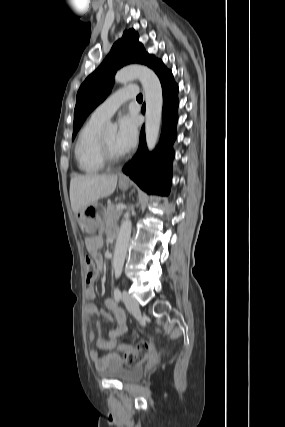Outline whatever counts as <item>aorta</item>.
<instances>
[{"label":"aorta","mask_w":285,"mask_h":427,"mask_svg":"<svg viewBox=\"0 0 285 427\" xmlns=\"http://www.w3.org/2000/svg\"><path fill=\"white\" fill-rule=\"evenodd\" d=\"M133 79H139L145 94V136L149 151H152L157 143L161 115H162V87L157 75L146 66L131 65L119 70L115 75V82L125 84ZM107 132H116L117 126L112 123L106 125ZM132 223L130 219L122 222L116 240L112 266L115 270H121L131 236Z\"/></svg>","instance_id":"obj_1"}]
</instances>
